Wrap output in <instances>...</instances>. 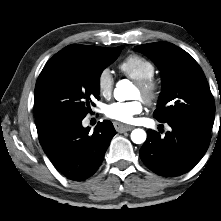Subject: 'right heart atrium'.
<instances>
[{"label":"right heart atrium","mask_w":221,"mask_h":221,"mask_svg":"<svg viewBox=\"0 0 221 221\" xmlns=\"http://www.w3.org/2000/svg\"><path fill=\"white\" fill-rule=\"evenodd\" d=\"M97 86L102 96H109L114 87V78L109 69L100 71L97 77Z\"/></svg>","instance_id":"1"}]
</instances>
